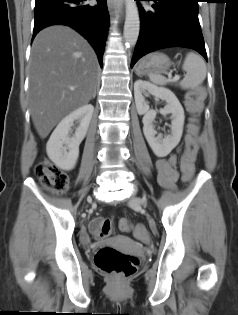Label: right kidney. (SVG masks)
I'll use <instances>...</instances> for the list:
<instances>
[{
    "instance_id": "ca27d5eb",
    "label": "right kidney",
    "mask_w": 238,
    "mask_h": 315,
    "mask_svg": "<svg viewBox=\"0 0 238 315\" xmlns=\"http://www.w3.org/2000/svg\"><path fill=\"white\" fill-rule=\"evenodd\" d=\"M94 107L86 104L71 112L57 125L46 145L47 155L59 168L74 169L79 157V145L85 138ZM74 121L79 122L75 135L70 137Z\"/></svg>"
}]
</instances>
